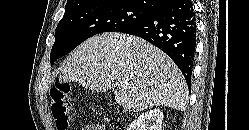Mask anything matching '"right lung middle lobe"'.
Instances as JSON below:
<instances>
[{
  "instance_id": "obj_1",
  "label": "right lung middle lobe",
  "mask_w": 249,
  "mask_h": 130,
  "mask_svg": "<svg viewBox=\"0 0 249 130\" xmlns=\"http://www.w3.org/2000/svg\"><path fill=\"white\" fill-rule=\"evenodd\" d=\"M153 12L131 0H106L65 11L56 28L50 63L96 34L120 32L147 19Z\"/></svg>"
}]
</instances>
